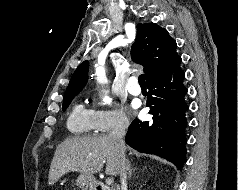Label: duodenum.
Wrapping results in <instances>:
<instances>
[{"instance_id": "1", "label": "duodenum", "mask_w": 238, "mask_h": 190, "mask_svg": "<svg viewBox=\"0 0 238 190\" xmlns=\"http://www.w3.org/2000/svg\"><path fill=\"white\" fill-rule=\"evenodd\" d=\"M94 190H109V189L102 184H96Z\"/></svg>"}]
</instances>
